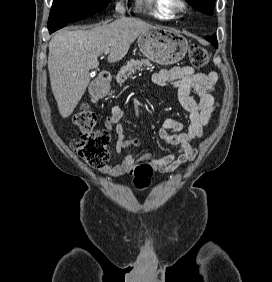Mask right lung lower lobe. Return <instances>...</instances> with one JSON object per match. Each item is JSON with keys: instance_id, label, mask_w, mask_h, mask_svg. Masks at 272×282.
<instances>
[{"instance_id": "obj_1", "label": "right lung lower lobe", "mask_w": 272, "mask_h": 282, "mask_svg": "<svg viewBox=\"0 0 272 282\" xmlns=\"http://www.w3.org/2000/svg\"><path fill=\"white\" fill-rule=\"evenodd\" d=\"M92 15H94V14H84V15H79V16L73 17L71 19H65V20H59V21L53 22V23L48 25L49 33L51 34V33L55 32L56 30L63 28L64 26H66L70 22H75V21L84 19L86 17L92 16Z\"/></svg>"}]
</instances>
